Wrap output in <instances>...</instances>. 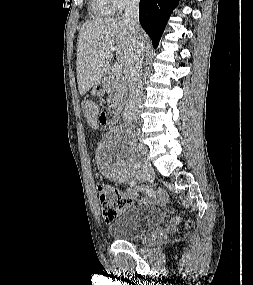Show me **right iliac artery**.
<instances>
[{
  "label": "right iliac artery",
  "instance_id": "right-iliac-artery-1",
  "mask_svg": "<svg viewBox=\"0 0 253 285\" xmlns=\"http://www.w3.org/2000/svg\"><path fill=\"white\" fill-rule=\"evenodd\" d=\"M129 185H130L131 187H135V185H136L135 180H133V179L129 180Z\"/></svg>",
  "mask_w": 253,
  "mask_h": 285
}]
</instances>
